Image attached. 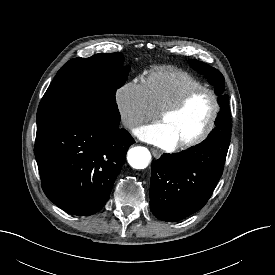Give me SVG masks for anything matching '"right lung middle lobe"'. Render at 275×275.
<instances>
[{"mask_svg":"<svg viewBox=\"0 0 275 275\" xmlns=\"http://www.w3.org/2000/svg\"><path fill=\"white\" fill-rule=\"evenodd\" d=\"M121 53L96 54L68 61L45 92L37 111V133L84 117L120 123L115 93L127 80L130 66Z\"/></svg>","mask_w":275,"mask_h":275,"instance_id":"right-lung-middle-lobe-1","label":"right lung middle lobe"}]
</instances>
